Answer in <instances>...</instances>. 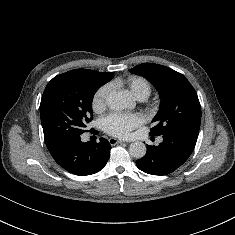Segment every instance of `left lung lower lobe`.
<instances>
[{
	"mask_svg": "<svg viewBox=\"0 0 235 235\" xmlns=\"http://www.w3.org/2000/svg\"><path fill=\"white\" fill-rule=\"evenodd\" d=\"M162 137L163 142L159 146L148 145L146 155L136 161L141 171L152 175H167L173 172L191 155L198 134L176 131L163 134Z\"/></svg>",
	"mask_w": 235,
	"mask_h": 235,
	"instance_id": "obj_1",
	"label": "left lung lower lobe"
}]
</instances>
